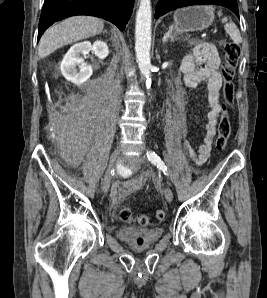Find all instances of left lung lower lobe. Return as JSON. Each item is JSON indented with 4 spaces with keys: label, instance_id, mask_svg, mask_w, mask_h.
I'll return each mask as SVG.
<instances>
[{
    "label": "left lung lower lobe",
    "instance_id": "left-lung-lower-lobe-1",
    "mask_svg": "<svg viewBox=\"0 0 267 298\" xmlns=\"http://www.w3.org/2000/svg\"><path fill=\"white\" fill-rule=\"evenodd\" d=\"M196 4H214L224 6L233 11L239 17L237 0H164L160 1L155 11V18L176 8L196 5Z\"/></svg>",
    "mask_w": 267,
    "mask_h": 298
}]
</instances>
